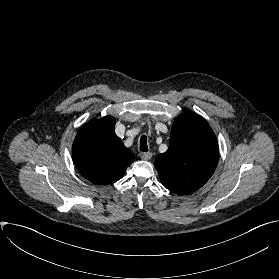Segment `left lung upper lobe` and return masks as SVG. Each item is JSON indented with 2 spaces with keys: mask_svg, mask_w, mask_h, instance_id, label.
<instances>
[{
  "mask_svg": "<svg viewBox=\"0 0 279 279\" xmlns=\"http://www.w3.org/2000/svg\"><path fill=\"white\" fill-rule=\"evenodd\" d=\"M218 158V142L207 121L185 112L174 121L169 148L155 158V167L168 190L187 194L210 179Z\"/></svg>",
  "mask_w": 279,
  "mask_h": 279,
  "instance_id": "obj_1",
  "label": "left lung upper lobe"
}]
</instances>
